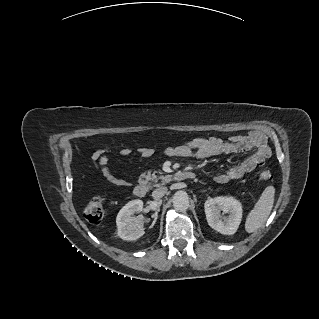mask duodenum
I'll return each mask as SVG.
<instances>
[{
	"label": "duodenum",
	"mask_w": 319,
	"mask_h": 319,
	"mask_svg": "<svg viewBox=\"0 0 319 319\" xmlns=\"http://www.w3.org/2000/svg\"><path fill=\"white\" fill-rule=\"evenodd\" d=\"M194 177L195 173L192 171H178L173 175L174 180L177 181L193 179ZM133 194L138 198H144L147 195V187L139 183L134 187Z\"/></svg>",
	"instance_id": "obj_1"
}]
</instances>
